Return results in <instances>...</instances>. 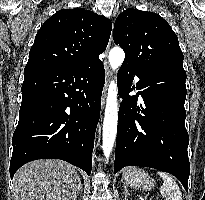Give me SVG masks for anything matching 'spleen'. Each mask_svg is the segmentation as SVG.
<instances>
[{
	"label": "spleen",
	"instance_id": "spleen-1",
	"mask_svg": "<svg viewBox=\"0 0 205 200\" xmlns=\"http://www.w3.org/2000/svg\"><path fill=\"white\" fill-rule=\"evenodd\" d=\"M162 178L163 184L160 193L166 200H183L181 190L176 181L167 173L157 172Z\"/></svg>",
	"mask_w": 205,
	"mask_h": 200
}]
</instances>
